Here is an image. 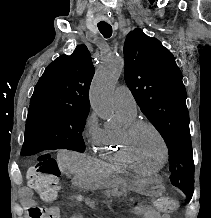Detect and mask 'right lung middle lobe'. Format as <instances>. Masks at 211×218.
Wrapping results in <instances>:
<instances>
[{
	"label": "right lung middle lobe",
	"instance_id": "dd1d6c3e",
	"mask_svg": "<svg viewBox=\"0 0 211 218\" xmlns=\"http://www.w3.org/2000/svg\"><path fill=\"white\" fill-rule=\"evenodd\" d=\"M89 109L30 105L26 120L25 140L48 147L67 146L83 152L82 132Z\"/></svg>",
	"mask_w": 211,
	"mask_h": 218
}]
</instances>
